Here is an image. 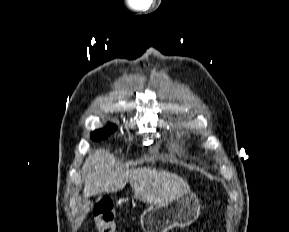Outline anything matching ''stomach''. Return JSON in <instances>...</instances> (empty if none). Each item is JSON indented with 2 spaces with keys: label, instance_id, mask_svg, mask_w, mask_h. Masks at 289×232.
Returning <instances> with one entry per match:
<instances>
[{
  "label": "stomach",
  "instance_id": "stomach-1",
  "mask_svg": "<svg viewBox=\"0 0 289 232\" xmlns=\"http://www.w3.org/2000/svg\"><path fill=\"white\" fill-rule=\"evenodd\" d=\"M200 209L198 197L189 192L164 204L147 207L141 215V227L144 232H168L174 227L183 228L199 217Z\"/></svg>",
  "mask_w": 289,
  "mask_h": 232
}]
</instances>
